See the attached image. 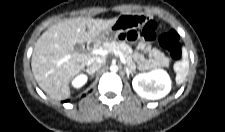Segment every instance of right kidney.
I'll list each match as a JSON object with an SVG mask.
<instances>
[{
	"label": "right kidney",
	"instance_id": "right-kidney-1",
	"mask_svg": "<svg viewBox=\"0 0 225 132\" xmlns=\"http://www.w3.org/2000/svg\"><path fill=\"white\" fill-rule=\"evenodd\" d=\"M87 80H88V77L84 74H81L73 79L72 85L75 88H81L83 85L86 84Z\"/></svg>",
	"mask_w": 225,
	"mask_h": 132
}]
</instances>
